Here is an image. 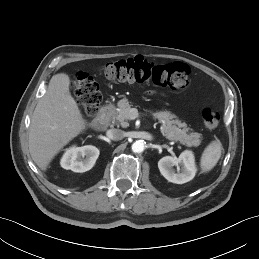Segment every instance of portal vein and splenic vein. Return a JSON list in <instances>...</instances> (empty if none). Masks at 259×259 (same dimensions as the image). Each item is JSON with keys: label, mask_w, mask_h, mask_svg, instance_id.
<instances>
[{"label": "portal vein and splenic vein", "mask_w": 259, "mask_h": 259, "mask_svg": "<svg viewBox=\"0 0 259 259\" xmlns=\"http://www.w3.org/2000/svg\"><path fill=\"white\" fill-rule=\"evenodd\" d=\"M129 113H130V119H132V120L137 118L139 115L137 109H135V108H131Z\"/></svg>", "instance_id": "obj_1"}]
</instances>
